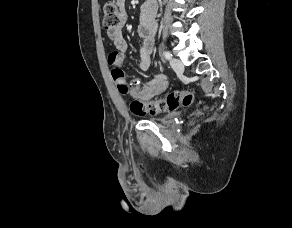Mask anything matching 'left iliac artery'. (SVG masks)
<instances>
[{
	"label": "left iliac artery",
	"instance_id": "obj_1",
	"mask_svg": "<svg viewBox=\"0 0 292 228\" xmlns=\"http://www.w3.org/2000/svg\"><path fill=\"white\" fill-rule=\"evenodd\" d=\"M163 55L168 60L172 58V54L169 51H164Z\"/></svg>",
	"mask_w": 292,
	"mask_h": 228
}]
</instances>
